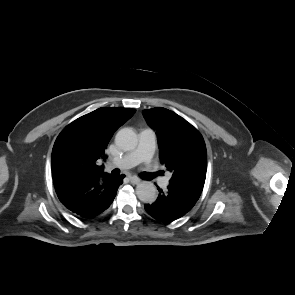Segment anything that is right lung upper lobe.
Here are the masks:
<instances>
[{
	"mask_svg": "<svg viewBox=\"0 0 295 295\" xmlns=\"http://www.w3.org/2000/svg\"><path fill=\"white\" fill-rule=\"evenodd\" d=\"M135 109L105 107L86 114L67 125L52 150L54 183L79 182L104 174L105 149L114 132L130 119Z\"/></svg>",
	"mask_w": 295,
	"mask_h": 295,
	"instance_id": "cb5924a9",
	"label": "right lung upper lobe"
}]
</instances>
